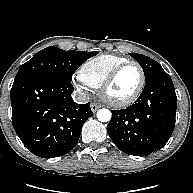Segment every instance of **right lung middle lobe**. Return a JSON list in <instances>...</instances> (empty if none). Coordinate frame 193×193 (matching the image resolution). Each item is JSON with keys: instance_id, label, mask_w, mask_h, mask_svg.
<instances>
[{"instance_id": "obj_1", "label": "right lung middle lobe", "mask_w": 193, "mask_h": 193, "mask_svg": "<svg viewBox=\"0 0 193 193\" xmlns=\"http://www.w3.org/2000/svg\"><path fill=\"white\" fill-rule=\"evenodd\" d=\"M94 55L96 54L92 52L47 47L20 67L15 80L27 76H50L71 82L72 75L79 66Z\"/></svg>"}]
</instances>
